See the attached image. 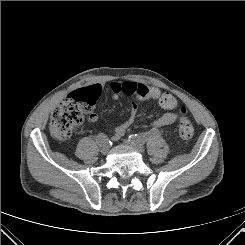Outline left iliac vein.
Here are the masks:
<instances>
[{
	"label": "left iliac vein",
	"mask_w": 245,
	"mask_h": 245,
	"mask_svg": "<svg viewBox=\"0 0 245 245\" xmlns=\"http://www.w3.org/2000/svg\"><path fill=\"white\" fill-rule=\"evenodd\" d=\"M126 143L128 145H130L131 147L135 148L136 150H138L140 153H144V151H145L144 146L140 143H136V142L131 141V140L126 141Z\"/></svg>",
	"instance_id": "obj_1"
}]
</instances>
